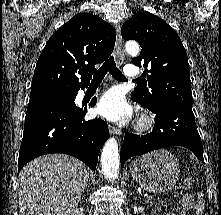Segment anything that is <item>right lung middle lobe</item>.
Instances as JSON below:
<instances>
[{
    "instance_id": "obj_1",
    "label": "right lung middle lobe",
    "mask_w": 221,
    "mask_h": 215,
    "mask_svg": "<svg viewBox=\"0 0 221 215\" xmlns=\"http://www.w3.org/2000/svg\"><path fill=\"white\" fill-rule=\"evenodd\" d=\"M69 94L65 95H54V96H49L46 98L30 101L28 104V108L36 107V106H42V105H48V104H53V103H60L64 102L68 99Z\"/></svg>"
}]
</instances>
